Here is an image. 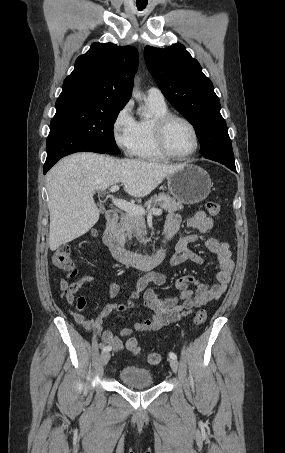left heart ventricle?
<instances>
[{
    "instance_id": "left-heart-ventricle-1",
    "label": "left heart ventricle",
    "mask_w": 285,
    "mask_h": 453,
    "mask_svg": "<svg viewBox=\"0 0 285 453\" xmlns=\"http://www.w3.org/2000/svg\"><path fill=\"white\" fill-rule=\"evenodd\" d=\"M167 142L172 152L183 155L194 148V137L191 129L181 121H173L167 131Z\"/></svg>"
}]
</instances>
